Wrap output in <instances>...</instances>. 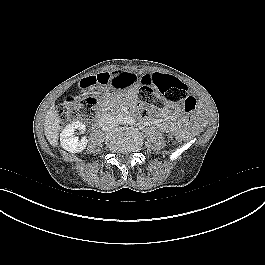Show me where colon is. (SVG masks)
Returning <instances> with one entry per match:
<instances>
[{"mask_svg":"<svg viewBox=\"0 0 265 265\" xmlns=\"http://www.w3.org/2000/svg\"><path fill=\"white\" fill-rule=\"evenodd\" d=\"M149 82L153 88L157 89V92L148 85L139 89L137 94L140 102L138 112L142 117L152 118L153 110L161 108L165 101L176 103L185 111L195 109L196 98L189 93L187 86L178 78L156 72L150 76ZM97 104V99L91 96H86L77 103L74 97H67L56 106L55 113L61 121L67 119L89 121L96 114Z\"/></svg>","mask_w":265,"mask_h":265,"instance_id":"colon-1","label":"colon"}]
</instances>
